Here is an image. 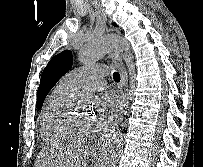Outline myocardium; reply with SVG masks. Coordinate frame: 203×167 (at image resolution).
Here are the masks:
<instances>
[{"instance_id":"f54148a6","label":"myocardium","mask_w":203,"mask_h":167,"mask_svg":"<svg viewBox=\"0 0 203 167\" xmlns=\"http://www.w3.org/2000/svg\"><path fill=\"white\" fill-rule=\"evenodd\" d=\"M67 126L77 138H85L94 132L92 126L85 124L83 120L73 112H71L68 117Z\"/></svg>"}]
</instances>
